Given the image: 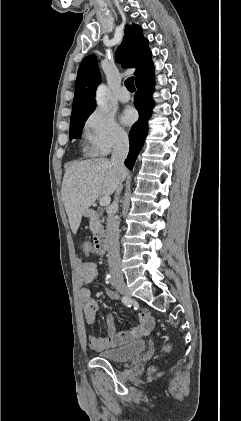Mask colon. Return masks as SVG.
Wrapping results in <instances>:
<instances>
[{"mask_svg": "<svg viewBox=\"0 0 241 421\" xmlns=\"http://www.w3.org/2000/svg\"><path fill=\"white\" fill-rule=\"evenodd\" d=\"M92 251H94V247H93V244H91V242H89V241L82 242V244H81V252L84 255H89ZM163 350L166 351V352L169 351L170 350V345L169 344H165L163 346Z\"/></svg>", "mask_w": 241, "mask_h": 421, "instance_id": "5ec220e1", "label": "colon"}]
</instances>
